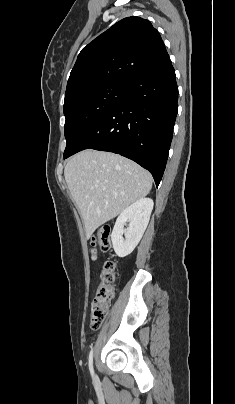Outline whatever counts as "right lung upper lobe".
Listing matches in <instances>:
<instances>
[{
	"label": "right lung upper lobe",
	"instance_id": "1",
	"mask_svg": "<svg viewBox=\"0 0 235 404\" xmlns=\"http://www.w3.org/2000/svg\"><path fill=\"white\" fill-rule=\"evenodd\" d=\"M168 57L159 32L148 20L124 18L81 50L68 79L65 102L102 84L125 83Z\"/></svg>",
	"mask_w": 235,
	"mask_h": 404
}]
</instances>
